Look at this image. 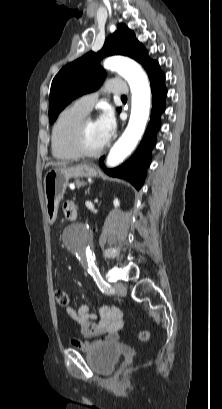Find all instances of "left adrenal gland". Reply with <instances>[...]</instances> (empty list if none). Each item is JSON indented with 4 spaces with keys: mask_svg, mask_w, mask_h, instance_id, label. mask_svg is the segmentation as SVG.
<instances>
[{
    "mask_svg": "<svg viewBox=\"0 0 222 409\" xmlns=\"http://www.w3.org/2000/svg\"><path fill=\"white\" fill-rule=\"evenodd\" d=\"M89 191H90V187H89L88 190H87L88 194H89Z\"/></svg>",
    "mask_w": 222,
    "mask_h": 409,
    "instance_id": "left-adrenal-gland-1",
    "label": "left adrenal gland"
}]
</instances>
